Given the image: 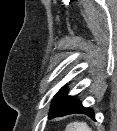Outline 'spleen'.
<instances>
[{
    "mask_svg": "<svg viewBox=\"0 0 117 131\" xmlns=\"http://www.w3.org/2000/svg\"><path fill=\"white\" fill-rule=\"evenodd\" d=\"M66 131H91V129L89 128L86 122L76 121V122L70 123L67 126Z\"/></svg>",
    "mask_w": 117,
    "mask_h": 131,
    "instance_id": "spleen-1",
    "label": "spleen"
}]
</instances>
